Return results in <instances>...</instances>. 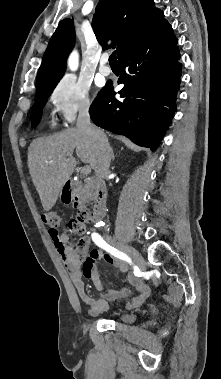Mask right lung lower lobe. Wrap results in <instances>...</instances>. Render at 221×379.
Returning <instances> with one entry per match:
<instances>
[{
  "label": "right lung lower lobe",
  "mask_w": 221,
  "mask_h": 379,
  "mask_svg": "<svg viewBox=\"0 0 221 379\" xmlns=\"http://www.w3.org/2000/svg\"><path fill=\"white\" fill-rule=\"evenodd\" d=\"M177 39L166 21L118 60L124 87L116 99L106 84L92 103L93 122L155 151L174 117L181 77Z\"/></svg>",
  "instance_id": "98d812e1"
}]
</instances>
